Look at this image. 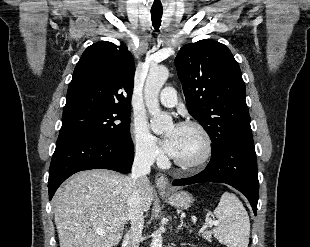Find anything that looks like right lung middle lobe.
I'll return each mask as SVG.
<instances>
[{
	"instance_id": "obj_1",
	"label": "right lung middle lobe",
	"mask_w": 310,
	"mask_h": 247,
	"mask_svg": "<svg viewBox=\"0 0 310 247\" xmlns=\"http://www.w3.org/2000/svg\"><path fill=\"white\" fill-rule=\"evenodd\" d=\"M130 122L127 109L74 107L63 110L60 134L89 133L119 143L130 138Z\"/></svg>"
}]
</instances>
